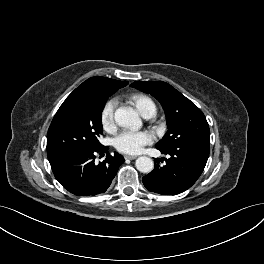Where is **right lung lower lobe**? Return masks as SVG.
I'll use <instances>...</instances> for the list:
<instances>
[{"instance_id": "right-lung-lower-lobe-1", "label": "right lung lower lobe", "mask_w": 264, "mask_h": 264, "mask_svg": "<svg viewBox=\"0 0 264 264\" xmlns=\"http://www.w3.org/2000/svg\"><path fill=\"white\" fill-rule=\"evenodd\" d=\"M108 146L100 149H72L49 158L56 179L70 193L77 196L97 195L105 192L125 161L123 156L108 154ZM107 153L97 164L96 154Z\"/></svg>"}]
</instances>
